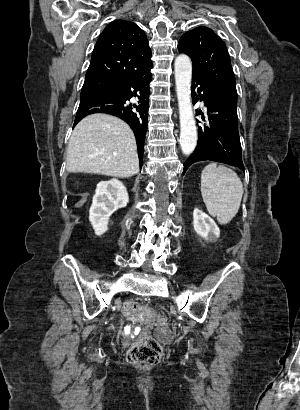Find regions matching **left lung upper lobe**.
Here are the masks:
<instances>
[{
	"instance_id": "1",
	"label": "left lung upper lobe",
	"mask_w": 300,
	"mask_h": 410,
	"mask_svg": "<svg viewBox=\"0 0 300 410\" xmlns=\"http://www.w3.org/2000/svg\"><path fill=\"white\" fill-rule=\"evenodd\" d=\"M178 49L192 59L193 76L237 101L235 76L226 45L211 29L200 26L187 31L180 38Z\"/></svg>"
}]
</instances>
